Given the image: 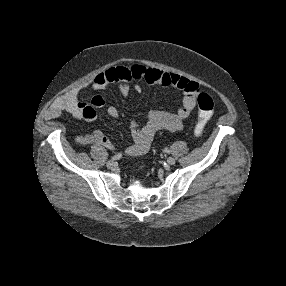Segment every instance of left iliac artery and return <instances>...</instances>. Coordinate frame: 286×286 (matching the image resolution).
Segmentation results:
<instances>
[{"instance_id": "1", "label": "left iliac artery", "mask_w": 286, "mask_h": 286, "mask_svg": "<svg viewBox=\"0 0 286 286\" xmlns=\"http://www.w3.org/2000/svg\"><path fill=\"white\" fill-rule=\"evenodd\" d=\"M164 152L170 153V150H169L168 148H165V149H164Z\"/></svg>"}]
</instances>
